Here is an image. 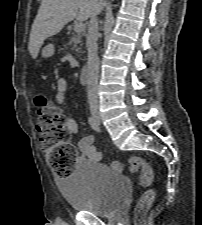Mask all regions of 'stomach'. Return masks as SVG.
<instances>
[{
    "mask_svg": "<svg viewBox=\"0 0 202 225\" xmlns=\"http://www.w3.org/2000/svg\"><path fill=\"white\" fill-rule=\"evenodd\" d=\"M54 52H55L54 45L52 43H49L43 47L42 57L49 58V57L53 56Z\"/></svg>",
    "mask_w": 202,
    "mask_h": 225,
    "instance_id": "obj_1",
    "label": "stomach"
}]
</instances>
